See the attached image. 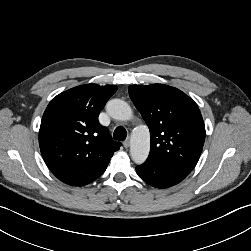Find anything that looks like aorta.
<instances>
[{"label":"aorta","instance_id":"762f6f07","mask_svg":"<svg viewBox=\"0 0 251 251\" xmlns=\"http://www.w3.org/2000/svg\"><path fill=\"white\" fill-rule=\"evenodd\" d=\"M106 111L110 117L120 121L129 120L132 117V109L128 103L121 99H112L106 105ZM150 151V132L147 126L136 127L131 135L130 153L136 164L146 161Z\"/></svg>","mask_w":251,"mask_h":251}]
</instances>
